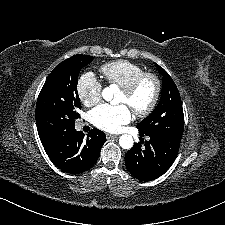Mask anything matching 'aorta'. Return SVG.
<instances>
[{
  "label": "aorta",
  "mask_w": 225,
  "mask_h": 225,
  "mask_svg": "<svg viewBox=\"0 0 225 225\" xmlns=\"http://www.w3.org/2000/svg\"><path fill=\"white\" fill-rule=\"evenodd\" d=\"M114 92H115V88L113 86L106 87L102 91V97L106 101L110 102L113 99ZM133 143L134 141L131 135L124 134V135H121L119 138V144L121 148L123 149H126V150L131 149L133 147Z\"/></svg>",
  "instance_id": "1"
}]
</instances>
